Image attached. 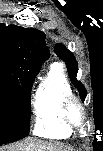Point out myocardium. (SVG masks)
<instances>
[{
  "label": "myocardium",
  "mask_w": 103,
  "mask_h": 151,
  "mask_svg": "<svg viewBox=\"0 0 103 151\" xmlns=\"http://www.w3.org/2000/svg\"><path fill=\"white\" fill-rule=\"evenodd\" d=\"M76 108L81 114L80 120L76 121L72 117V109ZM61 118L69 128L79 129L86 123L87 114L84 106L74 95L67 96L61 104Z\"/></svg>",
  "instance_id": "1"
}]
</instances>
